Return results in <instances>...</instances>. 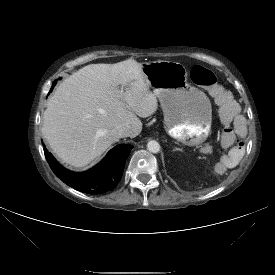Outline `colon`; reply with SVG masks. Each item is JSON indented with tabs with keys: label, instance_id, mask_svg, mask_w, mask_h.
I'll return each instance as SVG.
<instances>
[{
	"label": "colon",
	"instance_id": "obj_1",
	"mask_svg": "<svg viewBox=\"0 0 275 275\" xmlns=\"http://www.w3.org/2000/svg\"><path fill=\"white\" fill-rule=\"evenodd\" d=\"M191 78L194 83L208 90L215 102L222 104L227 97V92L219 83L215 73L203 66L196 65L191 70ZM217 172L222 173L224 170L217 165Z\"/></svg>",
	"mask_w": 275,
	"mask_h": 275
}]
</instances>
